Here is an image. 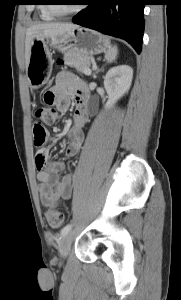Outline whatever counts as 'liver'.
I'll use <instances>...</instances> for the list:
<instances>
[{
	"instance_id": "1",
	"label": "liver",
	"mask_w": 181,
	"mask_h": 300,
	"mask_svg": "<svg viewBox=\"0 0 181 300\" xmlns=\"http://www.w3.org/2000/svg\"><path fill=\"white\" fill-rule=\"evenodd\" d=\"M72 23H39L31 26L25 38V65L28 67L31 45L34 38H57L67 31L77 28Z\"/></svg>"
}]
</instances>
